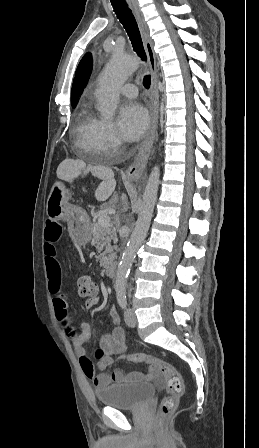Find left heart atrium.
<instances>
[{
  "label": "left heart atrium",
  "instance_id": "1",
  "mask_svg": "<svg viewBox=\"0 0 259 448\" xmlns=\"http://www.w3.org/2000/svg\"><path fill=\"white\" fill-rule=\"evenodd\" d=\"M148 127V114L138 102L123 104L118 116V129L126 141L138 140Z\"/></svg>",
  "mask_w": 259,
  "mask_h": 448
}]
</instances>
